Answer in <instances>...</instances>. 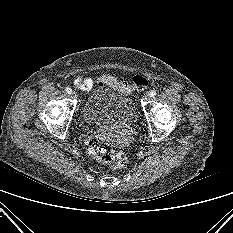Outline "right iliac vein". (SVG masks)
Returning a JSON list of instances; mask_svg holds the SVG:
<instances>
[{"mask_svg":"<svg viewBox=\"0 0 233 233\" xmlns=\"http://www.w3.org/2000/svg\"><path fill=\"white\" fill-rule=\"evenodd\" d=\"M70 94H71V96H72L73 98H76V97H77V95H76L75 92H71Z\"/></svg>","mask_w":233,"mask_h":233,"instance_id":"right-iliac-vein-1","label":"right iliac vein"}]
</instances>
